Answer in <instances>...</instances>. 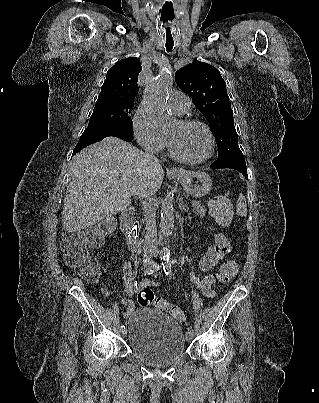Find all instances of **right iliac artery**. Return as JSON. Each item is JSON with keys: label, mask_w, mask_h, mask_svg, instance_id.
Wrapping results in <instances>:
<instances>
[{"label": "right iliac artery", "mask_w": 319, "mask_h": 403, "mask_svg": "<svg viewBox=\"0 0 319 403\" xmlns=\"http://www.w3.org/2000/svg\"><path fill=\"white\" fill-rule=\"evenodd\" d=\"M163 266H164V263L158 264L155 268L145 271V272L142 274V276H143V275H144V276L152 275L153 273H156L157 271H159L160 269H162ZM141 284L143 285V283H140V284L138 285L137 280H134V281L131 283V285H130V286H131V287H130V288H131V291L133 292V291H135V290H138V289L140 288ZM123 329H125V326H124V325L121 326V330H123Z\"/></svg>", "instance_id": "right-iliac-artery-1"}]
</instances>
